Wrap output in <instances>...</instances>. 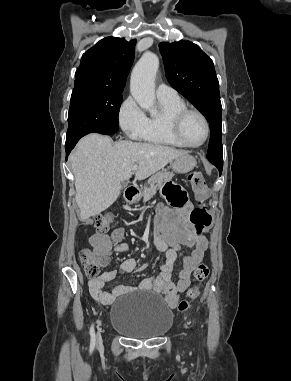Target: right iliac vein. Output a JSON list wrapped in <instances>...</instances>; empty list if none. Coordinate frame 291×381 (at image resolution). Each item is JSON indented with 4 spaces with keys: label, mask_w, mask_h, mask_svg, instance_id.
<instances>
[{
    "label": "right iliac vein",
    "mask_w": 291,
    "mask_h": 381,
    "mask_svg": "<svg viewBox=\"0 0 291 381\" xmlns=\"http://www.w3.org/2000/svg\"><path fill=\"white\" fill-rule=\"evenodd\" d=\"M101 342H102L101 333L100 331H98L96 336V344L99 346Z\"/></svg>",
    "instance_id": "63e3f726"
}]
</instances>
